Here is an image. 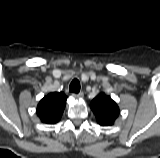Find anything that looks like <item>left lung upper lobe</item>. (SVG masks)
Instances as JSON below:
<instances>
[{"label": "left lung upper lobe", "instance_id": "obj_1", "mask_svg": "<svg viewBox=\"0 0 160 158\" xmlns=\"http://www.w3.org/2000/svg\"><path fill=\"white\" fill-rule=\"evenodd\" d=\"M91 109L95 114L97 122L102 126L113 125L119 116V107L105 93H100L91 102Z\"/></svg>", "mask_w": 160, "mask_h": 158}]
</instances>
